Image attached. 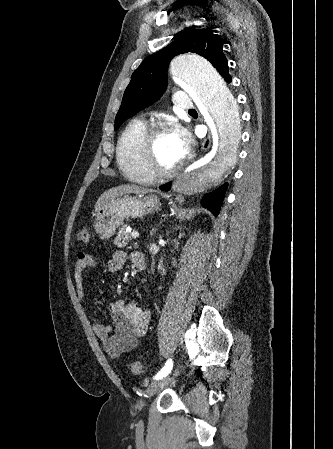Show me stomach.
Listing matches in <instances>:
<instances>
[{
    "mask_svg": "<svg viewBox=\"0 0 333 449\" xmlns=\"http://www.w3.org/2000/svg\"><path fill=\"white\" fill-rule=\"evenodd\" d=\"M159 207L160 200L154 194L143 198L124 196L111 199L96 212L94 229L101 239H109L125 220L142 218Z\"/></svg>",
    "mask_w": 333,
    "mask_h": 449,
    "instance_id": "0dacf381",
    "label": "stomach"
}]
</instances>
